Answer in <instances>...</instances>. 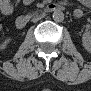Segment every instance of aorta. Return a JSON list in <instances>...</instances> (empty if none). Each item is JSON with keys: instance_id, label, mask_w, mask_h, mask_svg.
I'll return each instance as SVG.
<instances>
[{"instance_id": "obj_1", "label": "aorta", "mask_w": 91, "mask_h": 91, "mask_svg": "<svg viewBox=\"0 0 91 91\" xmlns=\"http://www.w3.org/2000/svg\"><path fill=\"white\" fill-rule=\"evenodd\" d=\"M53 20L55 22H62L64 20V13L62 11H54L53 13Z\"/></svg>"}]
</instances>
